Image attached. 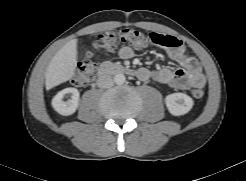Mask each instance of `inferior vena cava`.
I'll return each mask as SVG.
<instances>
[{
    "label": "inferior vena cava",
    "mask_w": 246,
    "mask_h": 181,
    "mask_svg": "<svg viewBox=\"0 0 246 181\" xmlns=\"http://www.w3.org/2000/svg\"><path fill=\"white\" fill-rule=\"evenodd\" d=\"M113 79L110 75H101L97 80V85L100 88H110L113 86Z\"/></svg>",
    "instance_id": "inferior-vena-cava-1"
}]
</instances>
